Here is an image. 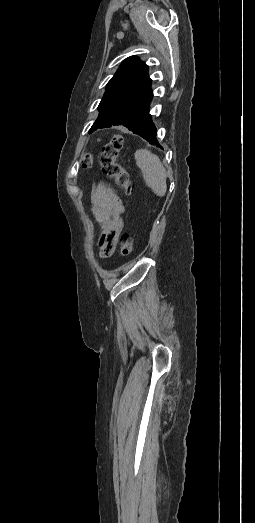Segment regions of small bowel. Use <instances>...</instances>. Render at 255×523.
Returning a JSON list of instances; mask_svg holds the SVG:
<instances>
[{
  "mask_svg": "<svg viewBox=\"0 0 255 523\" xmlns=\"http://www.w3.org/2000/svg\"><path fill=\"white\" fill-rule=\"evenodd\" d=\"M91 212L101 227L98 241L100 254L107 258L114 252L124 226V205L113 191L98 183L91 193Z\"/></svg>",
  "mask_w": 255,
  "mask_h": 523,
  "instance_id": "1",
  "label": "small bowel"
}]
</instances>
